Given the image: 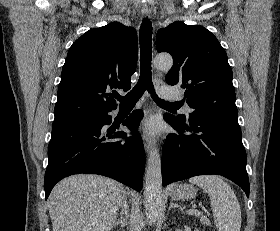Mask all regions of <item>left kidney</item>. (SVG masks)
I'll return each instance as SVG.
<instances>
[{"instance_id":"1","label":"left kidney","mask_w":280,"mask_h":231,"mask_svg":"<svg viewBox=\"0 0 280 231\" xmlns=\"http://www.w3.org/2000/svg\"><path fill=\"white\" fill-rule=\"evenodd\" d=\"M194 231H199V229H194Z\"/></svg>"}]
</instances>
